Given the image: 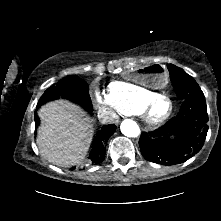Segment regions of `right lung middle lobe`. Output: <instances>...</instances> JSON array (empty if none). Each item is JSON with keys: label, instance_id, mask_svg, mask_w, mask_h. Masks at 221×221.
I'll list each match as a JSON object with an SVG mask.
<instances>
[{"label": "right lung middle lobe", "instance_id": "dd1d6c3e", "mask_svg": "<svg viewBox=\"0 0 221 221\" xmlns=\"http://www.w3.org/2000/svg\"><path fill=\"white\" fill-rule=\"evenodd\" d=\"M60 96L68 98L85 108H88L91 104L88 84L77 76H70L61 80L56 87H49L41 96L37 107Z\"/></svg>", "mask_w": 221, "mask_h": 221}]
</instances>
